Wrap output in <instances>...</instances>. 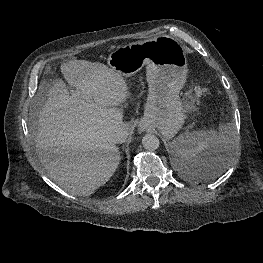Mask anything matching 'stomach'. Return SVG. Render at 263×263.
<instances>
[{"label":"stomach","mask_w":263,"mask_h":263,"mask_svg":"<svg viewBox=\"0 0 263 263\" xmlns=\"http://www.w3.org/2000/svg\"><path fill=\"white\" fill-rule=\"evenodd\" d=\"M107 61L110 69L126 78L146 65L149 93L143 126L156 127L164 137L171 139L185 119V107L180 98L188 72L183 46L170 36H160L119 46Z\"/></svg>","instance_id":"1"}]
</instances>
